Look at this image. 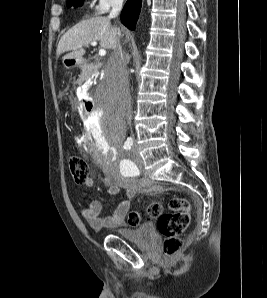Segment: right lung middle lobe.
Wrapping results in <instances>:
<instances>
[{
	"instance_id": "right-lung-middle-lobe-1",
	"label": "right lung middle lobe",
	"mask_w": 267,
	"mask_h": 298,
	"mask_svg": "<svg viewBox=\"0 0 267 298\" xmlns=\"http://www.w3.org/2000/svg\"><path fill=\"white\" fill-rule=\"evenodd\" d=\"M83 4V0H67L68 7L74 6L78 7Z\"/></svg>"
}]
</instances>
